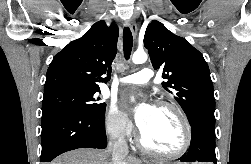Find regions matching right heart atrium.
<instances>
[{
    "instance_id": "d8ad5b80",
    "label": "right heart atrium",
    "mask_w": 251,
    "mask_h": 164,
    "mask_svg": "<svg viewBox=\"0 0 251 164\" xmlns=\"http://www.w3.org/2000/svg\"><path fill=\"white\" fill-rule=\"evenodd\" d=\"M108 133L116 138H128L133 130L132 123L127 114L115 105H111L105 117Z\"/></svg>"
}]
</instances>
